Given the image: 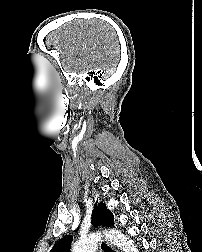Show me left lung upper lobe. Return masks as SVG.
Segmentation results:
<instances>
[{
  "label": "left lung upper lobe",
  "mask_w": 202,
  "mask_h": 252,
  "mask_svg": "<svg viewBox=\"0 0 202 252\" xmlns=\"http://www.w3.org/2000/svg\"><path fill=\"white\" fill-rule=\"evenodd\" d=\"M92 224L94 226L102 225L107 227L114 225L113 215L104 203L95 204L92 212ZM71 242L72 236L66 235L53 246L50 252H69Z\"/></svg>",
  "instance_id": "1"
}]
</instances>
